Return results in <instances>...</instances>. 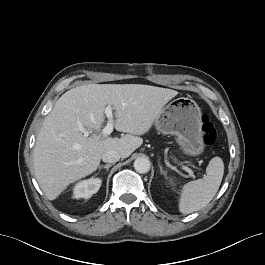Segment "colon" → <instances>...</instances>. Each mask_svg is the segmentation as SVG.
I'll use <instances>...</instances> for the list:
<instances>
[{"instance_id":"obj_1","label":"colon","mask_w":265,"mask_h":265,"mask_svg":"<svg viewBox=\"0 0 265 265\" xmlns=\"http://www.w3.org/2000/svg\"><path fill=\"white\" fill-rule=\"evenodd\" d=\"M201 131L204 143L206 145L214 144L217 138V133L214 124L207 116L202 118Z\"/></svg>"}]
</instances>
